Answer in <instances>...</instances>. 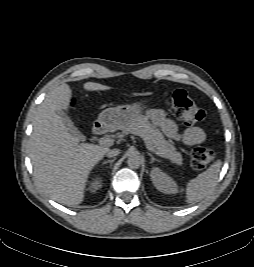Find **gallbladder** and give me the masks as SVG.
<instances>
[{
  "instance_id": "bac80fb5",
  "label": "gallbladder",
  "mask_w": 254,
  "mask_h": 267,
  "mask_svg": "<svg viewBox=\"0 0 254 267\" xmlns=\"http://www.w3.org/2000/svg\"><path fill=\"white\" fill-rule=\"evenodd\" d=\"M57 114L61 118L62 122L64 123V125L66 126V128L68 129V131L70 133H72L75 137H77L80 140H82L84 138V136L74 126L72 120L68 117V115L64 111H62V110L57 111Z\"/></svg>"
}]
</instances>
